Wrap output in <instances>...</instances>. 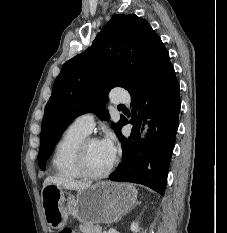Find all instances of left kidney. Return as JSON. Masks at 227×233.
<instances>
[{
    "label": "left kidney",
    "mask_w": 227,
    "mask_h": 233,
    "mask_svg": "<svg viewBox=\"0 0 227 233\" xmlns=\"http://www.w3.org/2000/svg\"><path fill=\"white\" fill-rule=\"evenodd\" d=\"M130 229H131V231H133L134 233H137V231L139 230L138 222H133V223L131 224Z\"/></svg>",
    "instance_id": "obj_1"
}]
</instances>
